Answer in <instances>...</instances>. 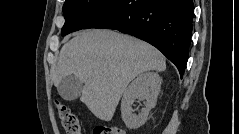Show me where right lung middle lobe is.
<instances>
[{
	"instance_id": "right-lung-middle-lobe-1",
	"label": "right lung middle lobe",
	"mask_w": 239,
	"mask_h": 134,
	"mask_svg": "<svg viewBox=\"0 0 239 134\" xmlns=\"http://www.w3.org/2000/svg\"><path fill=\"white\" fill-rule=\"evenodd\" d=\"M116 0H66L63 6L65 24L62 36L83 29L100 11Z\"/></svg>"
}]
</instances>
